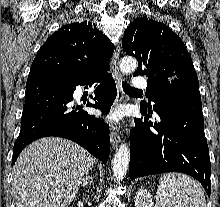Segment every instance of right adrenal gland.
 Segmentation results:
<instances>
[{"mask_svg": "<svg viewBox=\"0 0 220 207\" xmlns=\"http://www.w3.org/2000/svg\"><path fill=\"white\" fill-rule=\"evenodd\" d=\"M90 179H91V183H93L92 176H90Z\"/></svg>", "mask_w": 220, "mask_h": 207, "instance_id": "2a0ac1e0", "label": "right adrenal gland"}]
</instances>
